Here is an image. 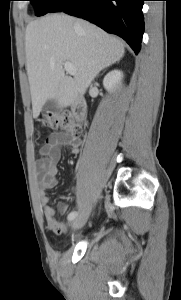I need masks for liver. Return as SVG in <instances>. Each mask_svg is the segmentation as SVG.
<instances>
[{"label":"liver","mask_w":181,"mask_h":300,"mask_svg":"<svg viewBox=\"0 0 181 300\" xmlns=\"http://www.w3.org/2000/svg\"><path fill=\"white\" fill-rule=\"evenodd\" d=\"M26 69L33 117L49 99L72 105L103 69L125 53L123 42L99 27L65 14H49L30 22L25 33ZM76 69L65 75L64 63Z\"/></svg>","instance_id":"6515ba94"}]
</instances>
